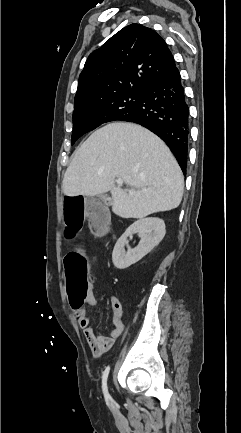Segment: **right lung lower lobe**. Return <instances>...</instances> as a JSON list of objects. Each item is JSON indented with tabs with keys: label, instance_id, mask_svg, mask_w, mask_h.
I'll return each instance as SVG.
<instances>
[{
	"label": "right lung lower lobe",
	"instance_id": "obj_1",
	"mask_svg": "<svg viewBox=\"0 0 241 433\" xmlns=\"http://www.w3.org/2000/svg\"><path fill=\"white\" fill-rule=\"evenodd\" d=\"M139 105L121 121L140 124L158 135L171 149L186 172L189 143V108L180 73L175 68L167 76L147 84Z\"/></svg>",
	"mask_w": 241,
	"mask_h": 433
}]
</instances>
